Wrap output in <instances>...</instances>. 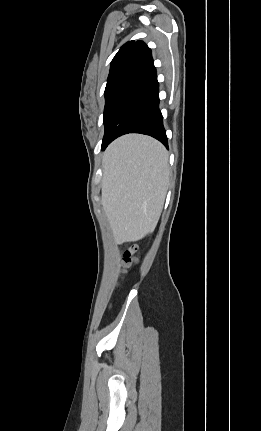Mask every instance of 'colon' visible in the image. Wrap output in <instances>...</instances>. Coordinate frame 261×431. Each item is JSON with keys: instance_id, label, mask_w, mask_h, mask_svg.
<instances>
[{"instance_id": "1", "label": "colon", "mask_w": 261, "mask_h": 431, "mask_svg": "<svg viewBox=\"0 0 261 431\" xmlns=\"http://www.w3.org/2000/svg\"><path fill=\"white\" fill-rule=\"evenodd\" d=\"M137 247L136 245H126L123 250V260L126 265H131L137 262L136 257Z\"/></svg>"}]
</instances>
